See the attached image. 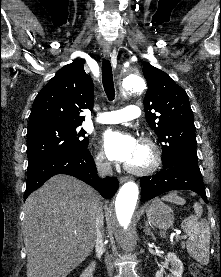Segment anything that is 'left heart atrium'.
Listing matches in <instances>:
<instances>
[{
	"label": "left heart atrium",
	"instance_id": "left-heart-atrium-1",
	"mask_svg": "<svg viewBox=\"0 0 221 277\" xmlns=\"http://www.w3.org/2000/svg\"><path fill=\"white\" fill-rule=\"evenodd\" d=\"M104 146L111 160L128 163L137 150L138 142L131 135L108 131L104 135Z\"/></svg>",
	"mask_w": 221,
	"mask_h": 277
}]
</instances>
